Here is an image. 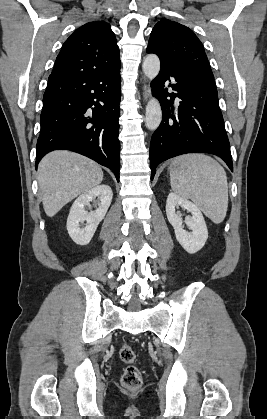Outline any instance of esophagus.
I'll use <instances>...</instances> for the list:
<instances>
[{
    "label": "esophagus",
    "instance_id": "34e87169",
    "mask_svg": "<svg viewBox=\"0 0 267 419\" xmlns=\"http://www.w3.org/2000/svg\"><path fill=\"white\" fill-rule=\"evenodd\" d=\"M149 96H150L149 86L147 84H144V87H143V97H144V100H147L149 98Z\"/></svg>",
    "mask_w": 267,
    "mask_h": 419
}]
</instances>
